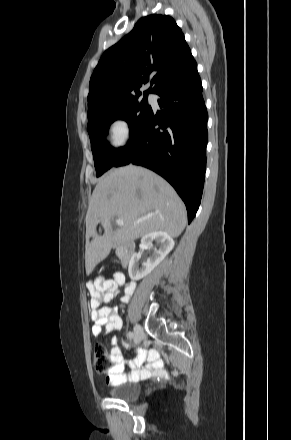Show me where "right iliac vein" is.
Here are the masks:
<instances>
[{
  "instance_id": "1",
  "label": "right iliac vein",
  "mask_w": 291,
  "mask_h": 440,
  "mask_svg": "<svg viewBox=\"0 0 291 440\" xmlns=\"http://www.w3.org/2000/svg\"><path fill=\"white\" fill-rule=\"evenodd\" d=\"M144 338V333L140 325H135L134 327V342L139 344Z\"/></svg>"
}]
</instances>
